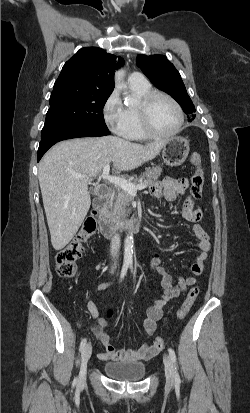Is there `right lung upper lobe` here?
I'll use <instances>...</instances> for the list:
<instances>
[{"instance_id":"1","label":"right lung upper lobe","mask_w":250,"mask_h":413,"mask_svg":"<svg viewBox=\"0 0 250 413\" xmlns=\"http://www.w3.org/2000/svg\"><path fill=\"white\" fill-rule=\"evenodd\" d=\"M121 57L98 47L80 49L63 66L54 88L75 85L81 88L110 91L114 89V70L123 65Z\"/></svg>"}]
</instances>
